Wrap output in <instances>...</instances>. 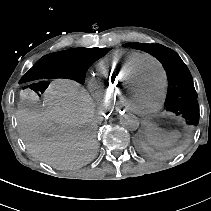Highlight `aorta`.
Here are the masks:
<instances>
[{
  "mask_svg": "<svg viewBox=\"0 0 211 211\" xmlns=\"http://www.w3.org/2000/svg\"><path fill=\"white\" fill-rule=\"evenodd\" d=\"M120 124L128 130H137L139 127V119L133 114H125L120 120Z\"/></svg>",
  "mask_w": 211,
  "mask_h": 211,
  "instance_id": "obj_1",
  "label": "aorta"
}]
</instances>
